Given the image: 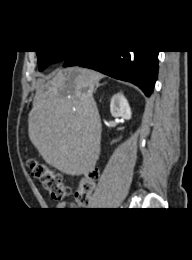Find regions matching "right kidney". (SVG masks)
I'll return each instance as SVG.
<instances>
[{"label": "right kidney", "mask_w": 192, "mask_h": 260, "mask_svg": "<svg viewBox=\"0 0 192 260\" xmlns=\"http://www.w3.org/2000/svg\"><path fill=\"white\" fill-rule=\"evenodd\" d=\"M110 112L113 117H122L126 120L131 119V109L123 94L118 93L112 97Z\"/></svg>", "instance_id": "1"}]
</instances>
